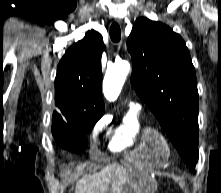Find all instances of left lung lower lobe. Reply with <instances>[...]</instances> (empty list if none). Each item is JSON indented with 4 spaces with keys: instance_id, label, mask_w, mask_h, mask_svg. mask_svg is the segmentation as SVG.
<instances>
[{
    "instance_id": "0a47b994",
    "label": "left lung lower lobe",
    "mask_w": 221,
    "mask_h": 193,
    "mask_svg": "<svg viewBox=\"0 0 221 193\" xmlns=\"http://www.w3.org/2000/svg\"><path fill=\"white\" fill-rule=\"evenodd\" d=\"M189 168H190L191 170H193V171L195 170V166H192V167H189Z\"/></svg>"
}]
</instances>
